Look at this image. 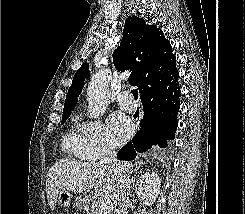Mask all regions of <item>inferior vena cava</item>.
I'll use <instances>...</instances> for the list:
<instances>
[{"instance_id":"1","label":"inferior vena cava","mask_w":245,"mask_h":214,"mask_svg":"<svg viewBox=\"0 0 245 214\" xmlns=\"http://www.w3.org/2000/svg\"><path fill=\"white\" fill-rule=\"evenodd\" d=\"M98 164L113 172L117 178L113 189L114 214H126L131 182L127 163L120 162L116 152L109 145L103 144Z\"/></svg>"}]
</instances>
